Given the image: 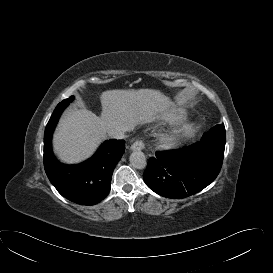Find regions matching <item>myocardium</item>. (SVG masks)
I'll use <instances>...</instances> for the list:
<instances>
[{
	"label": "myocardium",
	"instance_id": "myocardium-1",
	"mask_svg": "<svg viewBox=\"0 0 273 273\" xmlns=\"http://www.w3.org/2000/svg\"><path fill=\"white\" fill-rule=\"evenodd\" d=\"M195 132L193 123H186L175 129L166 131L159 137V144L164 149H172Z\"/></svg>",
	"mask_w": 273,
	"mask_h": 273
}]
</instances>
